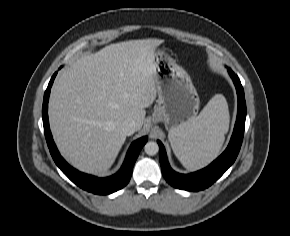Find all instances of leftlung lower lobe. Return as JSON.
<instances>
[{
	"label": "left lung lower lobe",
	"mask_w": 290,
	"mask_h": 236,
	"mask_svg": "<svg viewBox=\"0 0 290 236\" xmlns=\"http://www.w3.org/2000/svg\"><path fill=\"white\" fill-rule=\"evenodd\" d=\"M238 96V113L234 131L226 150L209 166L192 174H179L173 171L168 163L167 155L163 144L158 140L159 159L162 173L166 181L175 188L187 191H199L212 185L224 172L234 163L241 148L245 119L246 102L242 84L236 74L228 69Z\"/></svg>",
	"instance_id": "0a47b994"
}]
</instances>
